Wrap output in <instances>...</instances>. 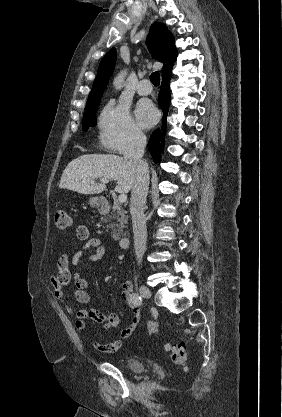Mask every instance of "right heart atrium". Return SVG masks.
Returning a JSON list of instances; mask_svg holds the SVG:
<instances>
[{
  "label": "right heart atrium",
  "instance_id": "d8ad5b80",
  "mask_svg": "<svg viewBox=\"0 0 282 417\" xmlns=\"http://www.w3.org/2000/svg\"><path fill=\"white\" fill-rule=\"evenodd\" d=\"M99 130L102 144L121 154L137 149L144 139L127 107L115 101L106 105L99 122Z\"/></svg>",
  "mask_w": 282,
  "mask_h": 417
}]
</instances>
